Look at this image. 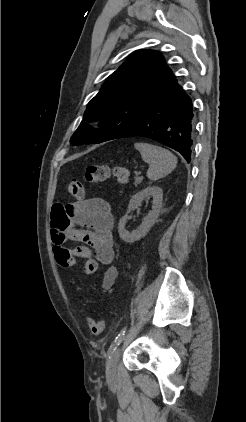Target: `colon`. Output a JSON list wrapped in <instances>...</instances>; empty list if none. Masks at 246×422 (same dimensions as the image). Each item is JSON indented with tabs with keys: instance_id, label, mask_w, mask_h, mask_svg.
<instances>
[{
	"instance_id": "1",
	"label": "colon",
	"mask_w": 246,
	"mask_h": 422,
	"mask_svg": "<svg viewBox=\"0 0 246 422\" xmlns=\"http://www.w3.org/2000/svg\"><path fill=\"white\" fill-rule=\"evenodd\" d=\"M114 175L118 182L126 183L129 180V171L122 166L113 168L106 164H92L85 170V179L88 183H101ZM68 193L78 199L83 200L86 196L84 184L77 179L71 180L67 185ZM57 263L62 267L73 266L76 262L75 257L67 249H57L54 252ZM97 270V262L93 259L86 260L83 265V272L86 275H93ZM86 323L92 334L102 333L106 326L105 318L91 319L86 318Z\"/></svg>"
}]
</instances>
